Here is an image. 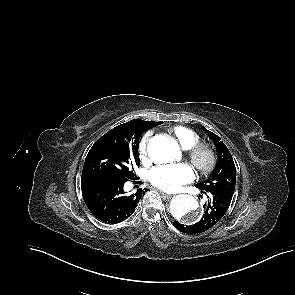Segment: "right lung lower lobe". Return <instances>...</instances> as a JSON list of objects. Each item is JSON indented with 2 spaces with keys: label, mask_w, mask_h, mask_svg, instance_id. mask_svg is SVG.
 <instances>
[{
  "label": "right lung lower lobe",
  "mask_w": 295,
  "mask_h": 295,
  "mask_svg": "<svg viewBox=\"0 0 295 295\" xmlns=\"http://www.w3.org/2000/svg\"><path fill=\"white\" fill-rule=\"evenodd\" d=\"M124 184L125 182L106 179L81 182L84 201L97 219L107 224H115L132 215L145 192L140 189L135 194L126 195Z\"/></svg>",
  "instance_id": "98d812e1"
}]
</instances>
